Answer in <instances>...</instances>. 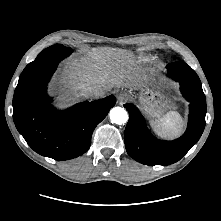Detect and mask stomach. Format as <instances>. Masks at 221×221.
I'll list each match as a JSON object with an SVG mask.
<instances>
[{"instance_id":"obj_1","label":"stomach","mask_w":221,"mask_h":221,"mask_svg":"<svg viewBox=\"0 0 221 221\" xmlns=\"http://www.w3.org/2000/svg\"><path fill=\"white\" fill-rule=\"evenodd\" d=\"M139 103L150 118H159L171 108H174L177 97L157 89H142L139 94Z\"/></svg>"}]
</instances>
